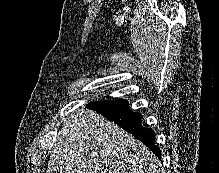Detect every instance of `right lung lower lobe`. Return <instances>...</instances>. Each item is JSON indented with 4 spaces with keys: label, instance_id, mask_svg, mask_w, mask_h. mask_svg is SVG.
Instances as JSON below:
<instances>
[{
    "label": "right lung lower lobe",
    "instance_id": "1",
    "mask_svg": "<svg viewBox=\"0 0 219 173\" xmlns=\"http://www.w3.org/2000/svg\"><path fill=\"white\" fill-rule=\"evenodd\" d=\"M87 107L131 133L135 138L147 145L157 157L161 158V151L154 144L155 132L151 128H145L141 125V114L133 112L129 108L127 100L91 102Z\"/></svg>",
    "mask_w": 219,
    "mask_h": 173
}]
</instances>
